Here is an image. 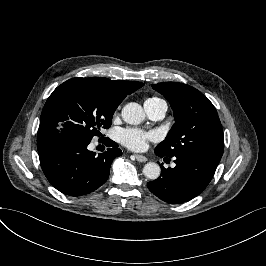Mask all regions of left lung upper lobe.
<instances>
[{
	"mask_svg": "<svg viewBox=\"0 0 266 266\" xmlns=\"http://www.w3.org/2000/svg\"><path fill=\"white\" fill-rule=\"evenodd\" d=\"M170 103L175 123L155 150L168 157L199 153L213 159L222 157L223 130L213 104L192 86L163 82L152 84Z\"/></svg>",
	"mask_w": 266,
	"mask_h": 266,
	"instance_id": "1",
	"label": "left lung upper lobe"
}]
</instances>
